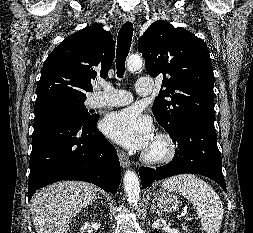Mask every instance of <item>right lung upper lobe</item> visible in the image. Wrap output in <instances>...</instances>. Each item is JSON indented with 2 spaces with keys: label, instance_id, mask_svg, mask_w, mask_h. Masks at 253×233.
Here are the masks:
<instances>
[{
  "label": "right lung upper lobe",
  "instance_id": "right-lung-upper-lobe-1",
  "mask_svg": "<svg viewBox=\"0 0 253 233\" xmlns=\"http://www.w3.org/2000/svg\"><path fill=\"white\" fill-rule=\"evenodd\" d=\"M115 54L113 35L94 24L65 38L47 57L35 103L49 98L86 99L91 81L106 77Z\"/></svg>",
  "mask_w": 253,
  "mask_h": 233
}]
</instances>
